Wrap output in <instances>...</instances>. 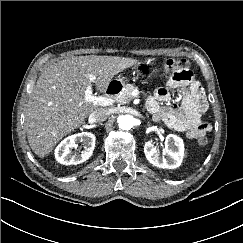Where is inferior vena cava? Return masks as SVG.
<instances>
[{"label":"inferior vena cava","mask_w":243,"mask_h":243,"mask_svg":"<svg viewBox=\"0 0 243 243\" xmlns=\"http://www.w3.org/2000/svg\"><path fill=\"white\" fill-rule=\"evenodd\" d=\"M109 116L108 110L105 108H97L93 112L90 113V118L95 122H103Z\"/></svg>","instance_id":"obj_1"}]
</instances>
